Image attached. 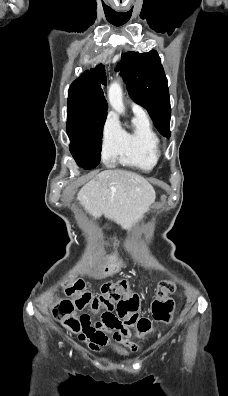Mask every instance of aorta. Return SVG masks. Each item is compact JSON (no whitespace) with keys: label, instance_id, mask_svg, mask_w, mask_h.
Wrapping results in <instances>:
<instances>
[{"label":"aorta","instance_id":"obj_1","mask_svg":"<svg viewBox=\"0 0 228 396\" xmlns=\"http://www.w3.org/2000/svg\"><path fill=\"white\" fill-rule=\"evenodd\" d=\"M108 100L111 107L118 113H124L125 108L123 104V93L121 85L114 82L110 85L108 90Z\"/></svg>","mask_w":228,"mask_h":396}]
</instances>
